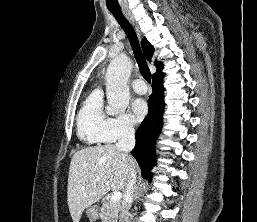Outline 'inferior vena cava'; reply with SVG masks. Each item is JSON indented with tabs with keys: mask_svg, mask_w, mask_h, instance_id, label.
Returning a JSON list of instances; mask_svg holds the SVG:
<instances>
[{
	"mask_svg": "<svg viewBox=\"0 0 257 222\" xmlns=\"http://www.w3.org/2000/svg\"><path fill=\"white\" fill-rule=\"evenodd\" d=\"M135 146V131L132 125L123 126L116 147L128 154ZM136 187V173L130 170V176L125 188L124 200L121 207L120 222H129V209L133 202Z\"/></svg>",
	"mask_w": 257,
	"mask_h": 222,
	"instance_id": "inferior-vena-cava-1",
	"label": "inferior vena cava"
}]
</instances>
